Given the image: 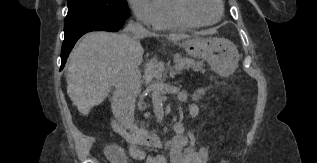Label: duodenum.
I'll list each match as a JSON object with an SVG mask.
<instances>
[{
	"instance_id": "obj_1",
	"label": "duodenum",
	"mask_w": 317,
	"mask_h": 163,
	"mask_svg": "<svg viewBox=\"0 0 317 163\" xmlns=\"http://www.w3.org/2000/svg\"><path fill=\"white\" fill-rule=\"evenodd\" d=\"M112 126L115 131L124 135L130 142V147H136L139 145H146L150 147L160 146L165 139V134L161 131L149 132L142 128L129 127L119 121L117 118L112 120ZM109 153L113 157L121 156L123 149L118 145H110L108 147Z\"/></svg>"
}]
</instances>
